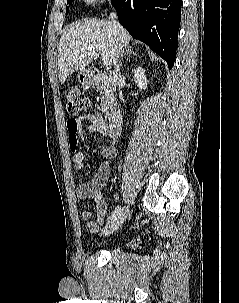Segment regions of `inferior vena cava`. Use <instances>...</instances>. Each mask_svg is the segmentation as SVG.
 <instances>
[{"mask_svg": "<svg viewBox=\"0 0 239 303\" xmlns=\"http://www.w3.org/2000/svg\"><path fill=\"white\" fill-rule=\"evenodd\" d=\"M112 21V23L114 25H116L117 27H120V24L117 22V14L114 12V13H111L110 14V17H109ZM120 50L117 52L116 54V59L114 61V65H115V72L116 74H118L120 76V70H119V62H120Z\"/></svg>", "mask_w": 239, "mask_h": 303, "instance_id": "inferior-vena-cava-1", "label": "inferior vena cava"}]
</instances>
